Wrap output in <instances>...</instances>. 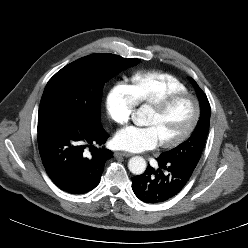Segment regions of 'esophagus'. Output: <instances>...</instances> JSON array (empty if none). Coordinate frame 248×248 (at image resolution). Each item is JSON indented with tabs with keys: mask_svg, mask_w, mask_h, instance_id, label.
Masks as SVG:
<instances>
[{
	"mask_svg": "<svg viewBox=\"0 0 248 248\" xmlns=\"http://www.w3.org/2000/svg\"><path fill=\"white\" fill-rule=\"evenodd\" d=\"M114 156L115 157H119V156H123V157H130V156H132V154L131 153H128V152H115L114 153Z\"/></svg>",
	"mask_w": 248,
	"mask_h": 248,
	"instance_id": "34e87169",
	"label": "esophagus"
}]
</instances>
